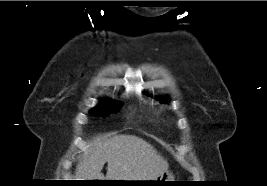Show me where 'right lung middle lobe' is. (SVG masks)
I'll return each mask as SVG.
<instances>
[{"mask_svg":"<svg viewBox=\"0 0 267 186\" xmlns=\"http://www.w3.org/2000/svg\"><path fill=\"white\" fill-rule=\"evenodd\" d=\"M120 108L121 106L119 104L102 101L99 106L92 109L90 112L93 115L104 117L106 115H109L110 113L118 112Z\"/></svg>","mask_w":267,"mask_h":186,"instance_id":"dd1d6c3e","label":"right lung middle lobe"}]
</instances>
